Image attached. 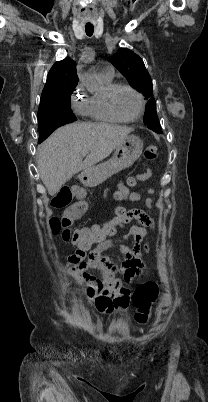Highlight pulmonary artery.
I'll use <instances>...</instances> for the list:
<instances>
[{"label":"pulmonary artery","instance_id":"e3ab8cb5","mask_svg":"<svg viewBox=\"0 0 208 402\" xmlns=\"http://www.w3.org/2000/svg\"><path fill=\"white\" fill-rule=\"evenodd\" d=\"M95 72L102 77L112 79L114 77V71L107 62H98L94 66Z\"/></svg>","mask_w":208,"mask_h":402}]
</instances>
